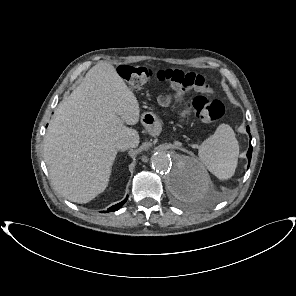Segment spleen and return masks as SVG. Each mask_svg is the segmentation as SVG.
<instances>
[{"instance_id": "1", "label": "spleen", "mask_w": 296, "mask_h": 296, "mask_svg": "<svg viewBox=\"0 0 296 296\" xmlns=\"http://www.w3.org/2000/svg\"><path fill=\"white\" fill-rule=\"evenodd\" d=\"M239 154L238 142L233 129L227 124H221L215 133L200 145L198 155L206 168L219 179L231 178L237 167ZM189 192V195H197Z\"/></svg>"}]
</instances>
